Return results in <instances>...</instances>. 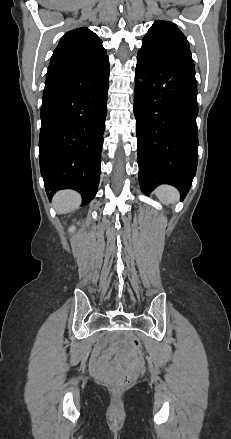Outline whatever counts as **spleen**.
<instances>
[{"label":"spleen","instance_id":"3e777b00","mask_svg":"<svg viewBox=\"0 0 231 439\" xmlns=\"http://www.w3.org/2000/svg\"><path fill=\"white\" fill-rule=\"evenodd\" d=\"M156 196L163 204L175 203L179 199V192L176 188L169 185H161L156 191Z\"/></svg>","mask_w":231,"mask_h":439}]
</instances>
